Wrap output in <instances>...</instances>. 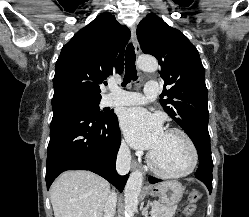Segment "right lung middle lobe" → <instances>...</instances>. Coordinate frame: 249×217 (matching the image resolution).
I'll list each match as a JSON object with an SVG mask.
<instances>
[{
    "instance_id": "right-lung-middle-lobe-1",
    "label": "right lung middle lobe",
    "mask_w": 249,
    "mask_h": 217,
    "mask_svg": "<svg viewBox=\"0 0 249 217\" xmlns=\"http://www.w3.org/2000/svg\"><path fill=\"white\" fill-rule=\"evenodd\" d=\"M60 98L71 99L73 101L80 103L81 105L86 107L91 114L99 118L103 119L113 116L112 112H107V111L102 112L99 110V103L101 97H93L75 91L62 92L53 96V99H60Z\"/></svg>"
}]
</instances>
